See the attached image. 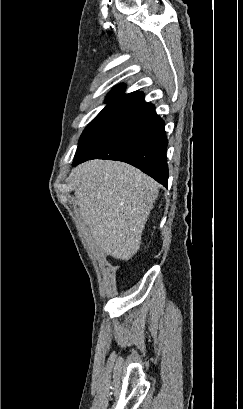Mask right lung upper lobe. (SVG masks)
Segmentation results:
<instances>
[{
    "mask_svg": "<svg viewBox=\"0 0 243 409\" xmlns=\"http://www.w3.org/2000/svg\"><path fill=\"white\" fill-rule=\"evenodd\" d=\"M125 85L124 84H120L117 85L106 97V99L108 101H119V102H123L131 97H133L134 95H136L137 91L129 93V94H124L125 92Z\"/></svg>",
    "mask_w": 243,
    "mask_h": 409,
    "instance_id": "obj_1",
    "label": "right lung upper lobe"
}]
</instances>
